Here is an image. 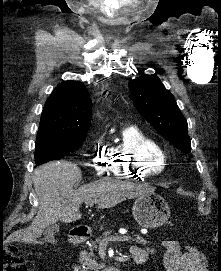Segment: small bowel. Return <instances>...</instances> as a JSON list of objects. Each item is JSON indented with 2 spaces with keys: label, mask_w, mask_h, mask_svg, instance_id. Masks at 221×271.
Wrapping results in <instances>:
<instances>
[{
  "label": "small bowel",
  "mask_w": 221,
  "mask_h": 271,
  "mask_svg": "<svg viewBox=\"0 0 221 271\" xmlns=\"http://www.w3.org/2000/svg\"><path fill=\"white\" fill-rule=\"evenodd\" d=\"M164 249L163 266L165 271H207L205 256L193 246L183 247L178 241L165 240L158 247L142 248L137 245L130 247L134 257L148 256Z\"/></svg>",
  "instance_id": "1"
}]
</instances>
